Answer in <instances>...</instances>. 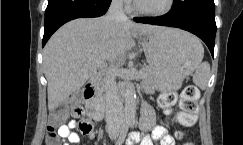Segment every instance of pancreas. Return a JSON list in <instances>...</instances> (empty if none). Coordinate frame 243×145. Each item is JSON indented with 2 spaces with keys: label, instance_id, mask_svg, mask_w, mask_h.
I'll return each mask as SVG.
<instances>
[{
  "label": "pancreas",
  "instance_id": "cf45deb5",
  "mask_svg": "<svg viewBox=\"0 0 243 145\" xmlns=\"http://www.w3.org/2000/svg\"><path fill=\"white\" fill-rule=\"evenodd\" d=\"M141 78L143 80V85L145 89H151V87L154 85V74L149 69H143L141 71ZM100 89H104L103 83L100 85Z\"/></svg>",
  "mask_w": 243,
  "mask_h": 145
}]
</instances>
